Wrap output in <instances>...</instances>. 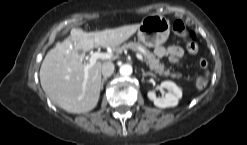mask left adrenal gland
I'll list each match as a JSON object with an SVG mask.
<instances>
[{
    "label": "left adrenal gland",
    "mask_w": 247,
    "mask_h": 145,
    "mask_svg": "<svg viewBox=\"0 0 247 145\" xmlns=\"http://www.w3.org/2000/svg\"><path fill=\"white\" fill-rule=\"evenodd\" d=\"M142 75H143V77H146V76H148V75H149V76H153V77L155 76V75H154L153 73H151V72H147V73H146L143 69H142Z\"/></svg>",
    "instance_id": "left-adrenal-gland-1"
}]
</instances>
